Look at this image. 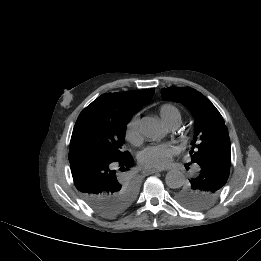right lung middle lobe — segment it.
Wrapping results in <instances>:
<instances>
[{"instance_id":"1","label":"right lung middle lobe","mask_w":261,"mask_h":261,"mask_svg":"<svg viewBox=\"0 0 261 261\" xmlns=\"http://www.w3.org/2000/svg\"><path fill=\"white\" fill-rule=\"evenodd\" d=\"M127 123L128 120L116 116L104 105L93 101L80 113L73 129L69 149L85 148L106 158L125 159L130 156L129 152L122 149ZM137 190V182L133 178L125 177L116 195L122 212L134 201Z\"/></svg>"}]
</instances>
